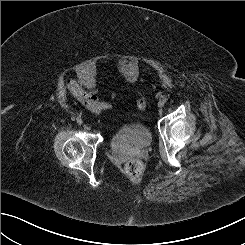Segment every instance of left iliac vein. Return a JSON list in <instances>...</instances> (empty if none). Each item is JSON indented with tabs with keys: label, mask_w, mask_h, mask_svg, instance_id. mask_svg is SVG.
<instances>
[{
	"label": "left iliac vein",
	"mask_w": 245,
	"mask_h": 245,
	"mask_svg": "<svg viewBox=\"0 0 245 245\" xmlns=\"http://www.w3.org/2000/svg\"><path fill=\"white\" fill-rule=\"evenodd\" d=\"M158 106H159V107H163V106H164V102H163V101H159V102H158Z\"/></svg>",
	"instance_id": "left-iliac-vein-1"
}]
</instances>
